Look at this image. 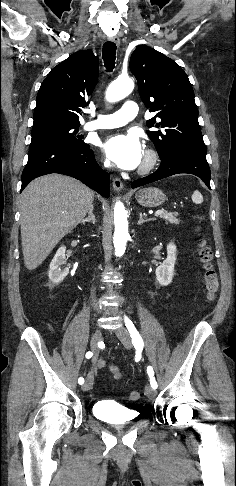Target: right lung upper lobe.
<instances>
[{
    "instance_id": "1",
    "label": "right lung upper lobe",
    "mask_w": 236,
    "mask_h": 486,
    "mask_svg": "<svg viewBox=\"0 0 236 486\" xmlns=\"http://www.w3.org/2000/svg\"><path fill=\"white\" fill-rule=\"evenodd\" d=\"M99 61L91 50L70 55L55 66L42 82L36 98L33 126L58 123L80 124L79 112L94 90Z\"/></svg>"
}]
</instances>
